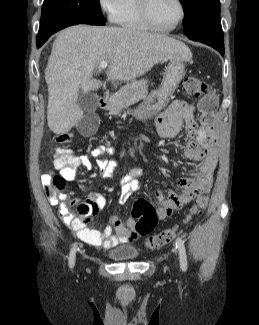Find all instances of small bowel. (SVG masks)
Listing matches in <instances>:
<instances>
[{"mask_svg": "<svg viewBox=\"0 0 259 325\" xmlns=\"http://www.w3.org/2000/svg\"><path fill=\"white\" fill-rule=\"evenodd\" d=\"M199 109L203 113L199 104ZM196 107L193 104L181 100H174L168 108L160 113L155 121L157 131L164 138H175L185 126L188 132L184 156L187 159L199 163L196 172L190 178H180L178 185L183 192L178 194L174 191L156 192L154 199L159 203L157 216L159 220H164L173 211L181 208L201 193H208L213 181V172L217 164L216 152L213 146V137L202 126L199 128L195 120ZM113 150L106 145H99L90 151V156L96 158L99 174L101 177L114 181L120 188L118 201L125 203L129 197L139 190V178L144 174L142 169L134 167L125 176L115 179L114 171L118 166V161L106 160L105 155H111ZM92 162L88 155L75 156L67 151L62 156L54 159L55 169L60 171L61 176L68 181H73L81 167L91 168ZM50 174L42 175L43 183L50 179ZM85 188L83 184L80 185ZM60 200L69 205H77L80 217H75L66 203H61L59 207L60 216L66 225L73 230L76 236L83 242L92 246L108 249L120 243H134L138 239L135 231V221L130 218L126 222L113 217L110 225L100 229L98 227H88L87 222L90 217L96 215L99 210L107 205L106 197L100 192H91L86 202L81 203L77 198H70L66 194L60 196ZM57 205L58 202H51Z\"/></svg>", "mask_w": 259, "mask_h": 325, "instance_id": "obj_1", "label": "small bowel"}]
</instances>
